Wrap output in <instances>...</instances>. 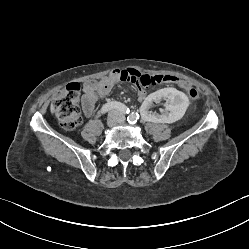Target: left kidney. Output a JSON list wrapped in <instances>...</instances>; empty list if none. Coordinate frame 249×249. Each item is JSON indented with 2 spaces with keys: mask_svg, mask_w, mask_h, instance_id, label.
I'll return each instance as SVG.
<instances>
[{
  "mask_svg": "<svg viewBox=\"0 0 249 249\" xmlns=\"http://www.w3.org/2000/svg\"><path fill=\"white\" fill-rule=\"evenodd\" d=\"M166 102V113L153 114L154 103ZM189 106L188 97L175 88H164L145 97L140 117L147 123H173L182 118Z\"/></svg>",
  "mask_w": 249,
  "mask_h": 249,
  "instance_id": "left-kidney-1",
  "label": "left kidney"
}]
</instances>
